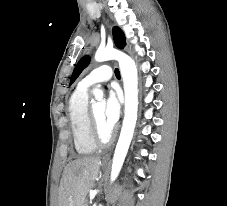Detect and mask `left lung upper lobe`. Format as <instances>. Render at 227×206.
I'll use <instances>...</instances> for the list:
<instances>
[{"instance_id":"obj_1","label":"left lung upper lobe","mask_w":227,"mask_h":206,"mask_svg":"<svg viewBox=\"0 0 227 206\" xmlns=\"http://www.w3.org/2000/svg\"><path fill=\"white\" fill-rule=\"evenodd\" d=\"M113 38H114L115 45L119 49H123L125 47L126 45L125 36L118 27L113 28ZM89 61H90L89 56H84L79 60V62L77 63L72 73L70 84H72L76 80V78L80 75L83 69L89 64Z\"/></svg>"}]
</instances>
